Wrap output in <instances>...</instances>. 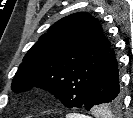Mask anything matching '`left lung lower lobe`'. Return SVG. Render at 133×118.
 I'll return each mask as SVG.
<instances>
[{
	"label": "left lung lower lobe",
	"instance_id": "0a47b994",
	"mask_svg": "<svg viewBox=\"0 0 133 118\" xmlns=\"http://www.w3.org/2000/svg\"><path fill=\"white\" fill-rule=\"evenodd\" d=\"M113 101H122V92L119 84L118 63L113 50L110 51L106 63L98 73L95 81L89 89L84 101V107L90 110L101 105L107 111L106 106Z\"/></svg>",
	"mask_w": 133,
	"mask_h": 118
}]
</instances>
